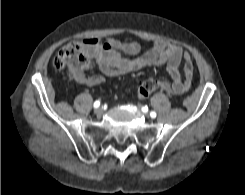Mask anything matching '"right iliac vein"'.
I'll use <instances>...</instances> for the list:
<instances>
[{
	"label": "right iliac vein",
	"instance_id": "63e3f726",
	"mask_svg": "<svg viewBox=\"0 0 245 195\" xmlns=\"http://www.w3.org/2000/svg\"><path fill=\"white\" fill-rule=\"evenodd\" d=\"M95 114L98 116V117H100L102 114H103V109L100 107V108H97L96 110H95Z\"/></svg>",
	"mask_w": 245,
	"mask_h": 195
}]
</instances>
